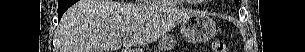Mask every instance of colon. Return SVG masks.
<instances>
[{
	"label": "colon",
	"mask_w": 305,
	"mask_h": 52,
	"mask_svg": "<svg viewBox=\"0 0 305 52\" xmlns=\"http://www.w3.org/2000/svg\"><path fill=\"white\" fill-rule=\"evenodd\" d=\"M213 52H228L227 45L222 40H215L211 43Z\"/></svg>",
	"instance_id": "obj_1"
}]
</instances>
